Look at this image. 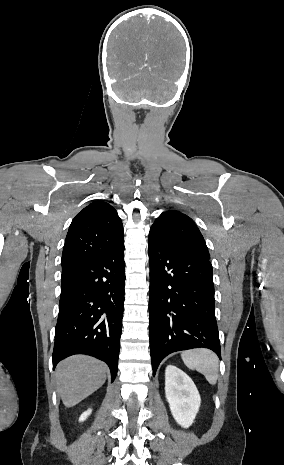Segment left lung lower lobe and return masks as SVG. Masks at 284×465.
Wrapping results in <instances>:
<instances>
[{"label":"left lung lower lobe","instance_id":"obj_1","mask_svg":"<svg viewBox=\"0 0 284 465\" xmlns=\"http://www.w3.org/2000/svg\"><path fill=\"white\" fill-rule=\"evenodd\" d=\"M149 336L153 376L170 353L204 347L221 358L210 260L150 235Z\"/></svg>","mask_w":284,"mask_h":465}]
</instances>
